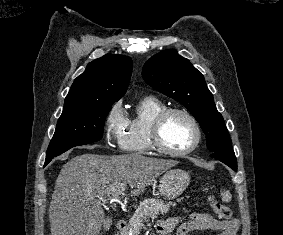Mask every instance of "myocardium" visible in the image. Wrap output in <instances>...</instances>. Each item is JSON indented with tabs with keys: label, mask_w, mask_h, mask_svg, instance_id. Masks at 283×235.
<instances>
[{
	"label": "myocardium",
	"mask_w": 283,
	"mask_h": 235,
	"mask_svg": "<svg viewBox=\"0 0 283 235\" xmlns=\"http://www.w3.org/2000/svg\"><path fill=\"white\" fill-rule=\"evenodd\" d=\"M172 114H181L185 116L191 122L195 130V138L192 144L188 148L180 151H174L168 149L167 147L164 146L161 140L162 126L165 120ZM201 138H202V131L198 120L191 112L179 107L166 108L161 113H159L154 119L150 129V143L152 148L160 154L173 156V157L185 156L192 153L199 146L201 142Z\"/></svg>",
	"instance_id": "obj_1"
}]
</instances>
